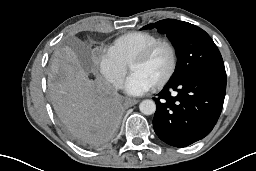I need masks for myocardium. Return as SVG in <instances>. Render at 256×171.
<instances>
[{
	"instance_id": "obj_1",
	"label": "myocardium",
	"mask_w": 256,
	"mask_h": 171,
	"mask_svg": "<svg viewBox=\"0 0 256 171\" xmlns=\"http://www.w3.org/2000/svg\"><path fill=\"white\" fill-rule=\"evenodd\" d=\"M160 46H166L169 49L170 54H171V65H170V68H169L167 74L153 86L154 88H157V89H160V88L164 87L167 83H169V81L172 79V77L174 76L176 69H177L178 55H177V50L172 42L165 40V39H159V40L151 43L147 47H145L143 50H141L132 59V61L130 63V67H131L134 64H139V63L145 62L146 60H148L150 58V56Z\"/></svg>"
}]
</instances>
